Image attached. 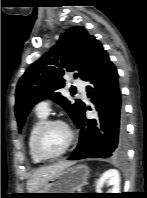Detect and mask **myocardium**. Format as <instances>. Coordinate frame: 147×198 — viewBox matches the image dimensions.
I'll return each mask as SVG.
<instances>
[{
    "instance_id": "1",
    "label": "myocardium",
    "mask_w": 147,
    "mask_h": 198,
    "mask_svg": "<svg viewBox=\"0 0 147 198\" xmlns=\"http://www.w3.org/2000/svg\"><path fill=\"white\" fill-rule=\"evenodd\" d=\"M53 125L63 126L67 131L68 139H67L65 146L63 147V149L60 152H58L56 154H48L41 147V139H42L44 133L46 132V130ZM73 141H74V132H73L71 126L66 121H64L62 119H51V120L45 121L40 126V128L37 130V132L34 136V140H33V147H34L36 154L41 159L54 160V159H57V158L61 157L62 155H64L69 150L71 145L73 144Z\"/></svg>"
}]
</instances>
